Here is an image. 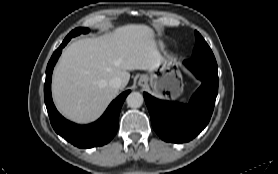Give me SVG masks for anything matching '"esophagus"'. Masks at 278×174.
Listing matches in <instances>:
<instances>
[{
    "instance_id": "1",
    "label": "esophagus",
    "mask_w": 278,
    "mask_h": 174,
    "mask_svg": "<svg viewBox=\"0 0 278 174\" xmlns=\"http://www.w3.org/2000/svg\"><path fill=\"white\" fill-rule=\"evenodd\" d=\"M147 83H148L147 77L146 76H141L139 81H138V85L140 87H145V86H147Z\"/></svg>"
}]
</instances>
